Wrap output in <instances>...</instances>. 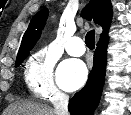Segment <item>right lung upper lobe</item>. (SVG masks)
Returning a JSON list of instances; mask_svg holds the SVG:
<instances>
[{
  "label": "right lung upper lobe",
  "mask_w": 131,
  "mask_h": 115,
  "mask_svg": "<svg viewBox=\"0 0 131 115\" xmlns=\"http://www.w3.org/2000/svg\"><path fill=\"white\" fill-rule=\"evenodd\" d=\"M82 15L89 20H93L103 28L100 39L108 38V29L112 17V6L110 0H91L88 6L84 9ZM48 17V9L43 8L31 20L28 29L26 30L18 56L22 55L29 49H32L39 39L42 29Z\"/></svg>",
  "instance_id": "cb5924a9"
}]
</instances>
